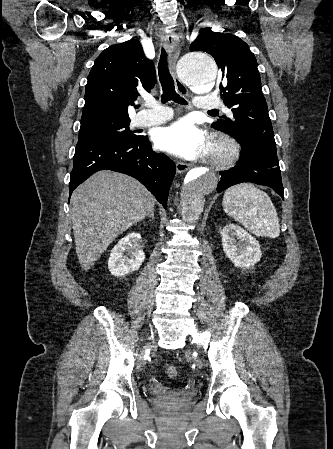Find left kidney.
Returning <instances> with one entry per match:
<instances>
[{"label":"left kidney","instance_id":"5707ae66","mask_svg":"<svg viewBox=\"0 0 333 449\" xmlns=\"http://www.w3.org/2000/svg\"><path fill=\"white\" fill-rule=\"evenodd\" d=\"M222 245L225 255L236 267L248 268L261 258L257 240L236 224L226 225L222 232Z\"/></svg>","mask_w":333,"mask_h":449}]
</instances>
